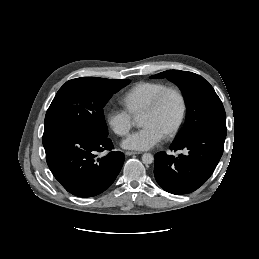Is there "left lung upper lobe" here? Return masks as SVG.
<instances>
[{
  "instance_id": "5c2ea615",
  "label": "left lung upper lobe",
  "mask_w": 259,
  "mask_h": 259,
  "mask_svg": "<svg viewBox=\"0 0 259 259\" xmlns=\"http://www.w3.org/2000/svg\"><path fill=\"white\" fill-rule=\"evenodd\" d=\"M152 77L168 78L180 87L185 97L186 121L175 142L181 141L191 133L203 128L226 129L223 104L213 87L203 77L180 70H168Z\"/></svg>"
}]
</instances>
